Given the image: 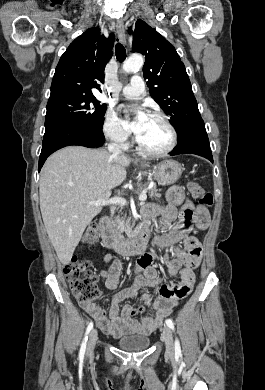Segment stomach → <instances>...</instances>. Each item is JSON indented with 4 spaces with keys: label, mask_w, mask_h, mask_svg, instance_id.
I'll return each instance as SVG.
<instances>
[{
    "label": "stomach",
    "mask_w": 265,
    "mask_h": 390,
    "mask_svg": "<svg viewBox=\"0 0 265 390\" xmlns=\"http://www.w3.org/2000/svg\"><path fill=\"white\" fill-rule=\"evenodd\" d=\"M141 167H149V163H141ZM152 171L159 185H170L180 178L183 168L177 161L165 160L154 166Z\"/></svg>",
    "instance_id": "1"
}]
</instances>
